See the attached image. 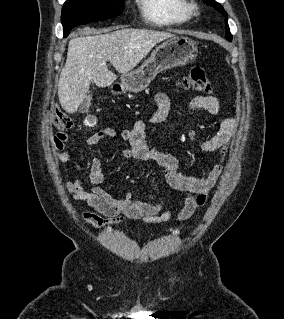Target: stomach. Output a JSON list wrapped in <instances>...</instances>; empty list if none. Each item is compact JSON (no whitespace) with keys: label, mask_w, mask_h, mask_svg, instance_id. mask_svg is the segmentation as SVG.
<instances>
[{"label":"stomach","mask_w":284,"mask_h":319,"mask_svg":"<svg viewBox=\"0 0 284 319\" xmlns=\"http://www.w3.org/2000/svg\"><path fill=\"white\" fill-rule=\"evenodd\" d=\"M197 53V45L189 37H171L157 46L139 69L122 75L121 84L114 88V92H141L149 86L157 74L186 65L196 58Z\"/></svg>","instance_id":"1"}]
</instances>
